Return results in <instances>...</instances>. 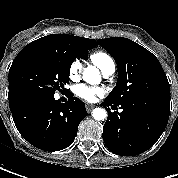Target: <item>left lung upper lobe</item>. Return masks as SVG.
<instances>
[{
	"instance_id": "1",
	"label": "left lung upper lobe",
	"mask_w": 178,
	"mask_h": 178,
	"mask_svg": "<svg viewBox=\"0 0 178 178\" xmlns=\"http://www.w3.org/2000/svg\"><path fill=\"white\" fill-rule=\"evenodd\" d=\"M98 44L118 66L117 84L106 97L108 102L139 104L170 113V85L155 55L124 37L99 39Z\"/></svg>"
}]
</instances>
